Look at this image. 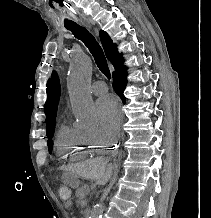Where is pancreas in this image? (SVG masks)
<instances>
[{
	"label": "pancreas",
	"instance_id": "1",
	"mask_svg": "<svg viewBox=\"0 0 211 218\" xmlns=\"http://www.w3.org/2000/svg\"><path fill=\"white\" fill-rule=\"evenodd\" d=\"M90 186H79V190H75V195H88Z\"/></svg>",
	"mask_w": 211,
	"mask_h": 218
}]
</instances>
